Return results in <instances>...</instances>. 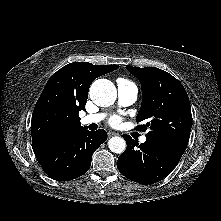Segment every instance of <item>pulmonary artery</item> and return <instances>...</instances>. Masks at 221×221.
Masks as SVG:
<instances>
[{
    "label": "pulmonary artery",
    "instance_id": "e3ab8cb5",
    "mask_svg": "<svg viewBox=\"0 0 221 221\" xmlns=\"http://www.w3.org/2000/svg\"><path fill=\"white\" fill-rule=\"evenodd\" d=\"M117 93L118 101L120 105L126 106L134 103L137 99L138 89L137 87L124 79L117 80ZM105 117L104 113H95L84 116L81 119L82 124H94L101 122ZM146 141V136L143 135L140 137V142L144 143Z\"/></svg>",
    "mask_w": 221,
    "mask_h": 221
}]
</instances>
